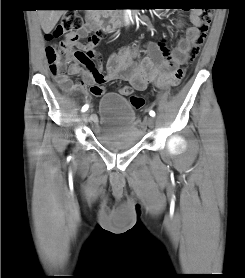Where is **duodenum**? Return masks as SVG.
Instances as JSON below:
<instances>
[{
  "label": "duodenum",
  "mask_w": 245,
  "mask_h": 278,
  "mask_svg": "<svg viewBox=\"0 0 245 278\" xmlns=\"http://www.w3.org/2000/svg\"><path fill=\"white\" fill-rule=\"evenodd\" d=\"M127 20L129 23H135L136 16L132 13H130L127 16ZM87 21L88 23L97 30H102L106 33H111L120 26L121 21H118L116 19H113L111 15L109 14H95V13H89L87 15ZM86 90H76L74 94L79 95L85 93Z\"/></svg>",
  "instance_id": "1"
}]
</instances>
